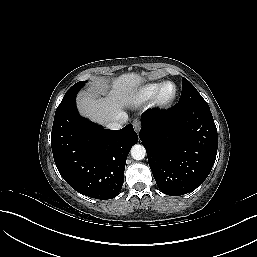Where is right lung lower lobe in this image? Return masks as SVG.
Returning a JSON list of instances; mask_svg holds the SVG:
<instances>
[{
	"label": "right lung lower lobe",
	"instance_id": "98d812e1",
	"mask_svg": "<svg viewBox=\"0 0 257 257\" xmlns=\"http://www.w3.org/2000/svg\"><path fill=\"white\" fill-rule=\"evenodd\" d=\"M138 142L132 124L104 129L82 118L76 103L55 113L51 146L60 175L77 192L100 200L116 197L124 182L130 148Z\"/></svg>",
	"mask_w": 257,
	"mask_h": 257
}]
</instances>
